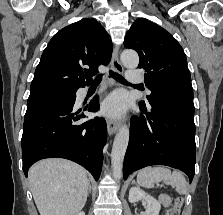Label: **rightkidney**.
Returning <instances> with one entry per match:
<instances>
[{"instance_id":"ca27d5eb","label":"right kidney","mask_w":223,"mask_h":215,"mask_svg":"<svg viewBox=\"0 0 223 215\" xmlns=\"http://www.w3.org/2000/svg\"><path fill=\"white\" fill-rule=\"evenodd\" d=\"M75 215H85V211H79V213H75Z\"/></svg>"}]
</instances>
